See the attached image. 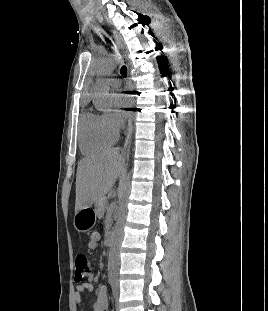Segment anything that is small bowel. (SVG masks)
<instances>
[{"label": "small bowel", "mask_w": 268, "mask_h": 311, "mask_svg": "<svg viewBox=\"0 0 268 311\" xmlns=\"http://www.w3.org/2000/svg\"><path fill=\"white\" fill-rule=\"evenodd\" d=\"M100 240V234L94 232L91 234L90 240L87 244L90 250H95L98 247ZM93 276L89 275L86 282H79L75 287L74 301L77 305L82 304V296L88 292L92 293L94 291V286L92 283ZM108 308V295L107 290L104 286L100 287L96 292V311H105Z\"/></svg>", "instance_id": "1"}]
</instances>
